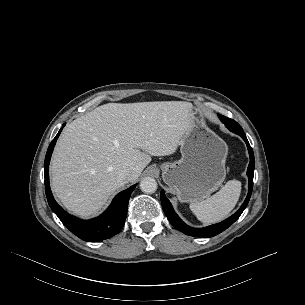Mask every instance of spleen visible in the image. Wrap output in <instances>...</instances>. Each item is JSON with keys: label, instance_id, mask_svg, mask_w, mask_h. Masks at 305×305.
I'll list each match as a JSON object with an SVG mask.
<instances>
[{"label": "spleen", "instance_id": "spleen-1", "mask_svg": "<svg viewBox=\"0 0 305 305\" xmlns=\"http://www.w3.org/2000/svg\"><path fill=\"white\" fill-rule=\"evenodd\" d=\"M241 182L229 180L217 193L201 202L190 204L191 211L202 223L214 224L224 220L236 206Z\"/></svg>", "mask_w": 305, "mask_h": 305}]
</instances>
